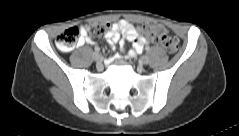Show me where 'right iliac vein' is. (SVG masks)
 <instances>
[{"mask_svg":"<svg viewBox=\"0 0 239 136\" xmlns=\"http://www.w3.org/2000/svg\"><path fill=\"white\" fill-rule=\"evenodd\" d=\"M93 59L97 62V66L100 67L101 66V59H102L101 54H99L98 52H95L93 54Z\"/></svg>","mask_w":239,"mask_h":136,"instance_id":"right-iliac-vein-1","label":"right iliac vein"}]
</instances>
